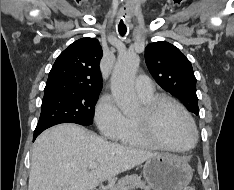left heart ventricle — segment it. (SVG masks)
<instances>
[{"label": "left heart ventricle", "mask_w": 234, "mask_h": 190, "mask_svg": "<svg viewBox=\"0 0 234 190\" xmlns=\"http://www.w3.org/2000/svg\"><path fill=\"white\" fill-rule=\"evenodd\" d=\"M142 111L143 109L137 116H140ZM156 131L166 144L174 147H187L193 141V131L188 120L174 106H166L161 110L157 120Z\"/></svg>", "instance_id": "1"}]
</instances>
